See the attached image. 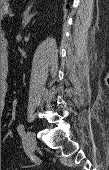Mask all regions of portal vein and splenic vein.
I'll return each instance as SVG.
<instances>
[{
	"label": "portal vein and splenic vein",
	"instance_id": "1",
	"mask_svg": "<svg viewBox=\"0 0 109 170\" xmlns=\"http://www.w3.org/2000/svg\"><path fill=\"white\" fill-rule=\"evenodd\" d=\"M9 16H10V17H13V16H14V14H13V13H11V14H9Z\"/></svg>",
	"mask_w": 109,
	"mask_h": 170
}]
</instances>
